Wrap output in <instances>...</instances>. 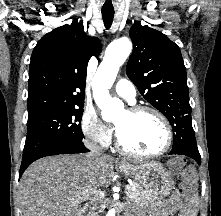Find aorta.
Instances as JSON below:
<instances>
[{
	"label": "aorta",
	"mask_w": 221,
	"mask_h": 216,
	"mask_svg": "<svg viewBox=\"0 0 221 216\" xmlns=\"http://www.w3.org/2000/svg\"><path fill=\"white\" fill-rule=\"evenodd\" d=\"M132 50V43L128 38L114 40L106 49L105 57L98 67L92 82L93 97L101 109L102 118L111 121L124 106L116 98H112L109 89L112 87L120 66L125 62ZM114 208L106 216H115Z\"/></svg>",
	"instance_id": "aorta-1"
}]
</instances>
